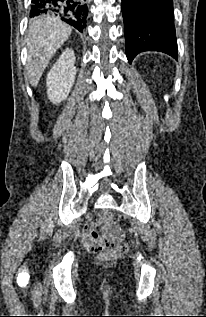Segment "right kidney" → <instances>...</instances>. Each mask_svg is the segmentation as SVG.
<instances>
[{"instance_id":"right-kidney-1","label":"right kidney","mask_w":206,"mask_h":317,"mask_svg":"<svg viewBox=\"0 0 206 317\" xmlns=\"http://www.w3.org/2000/svg\"><path fill=\"white\" fill-rule=\"evenodd\" d=\"M72 49L65 50L53 65L46 79L47 95L54 104L64 101L74 84L76 67Z\"/></svg>"}]
</instances>
